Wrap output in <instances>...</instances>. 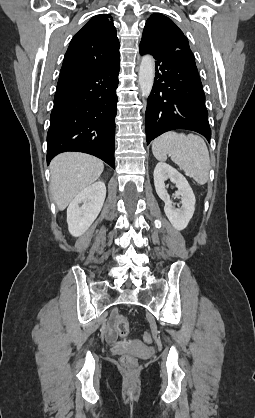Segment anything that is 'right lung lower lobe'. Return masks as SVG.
Listing matches in <instances>:
<instances>
[{
    "mask_svg": "<svg viewBox=\"0 0 255 418\" xmlns=\"http://www.w3.org/2000/svg\"><path fill=\"white\" fill-rule=\"evenodd\" d=\"M116 63L60 75L47 133V161L66 151L94 155L115 168Z\"/></svg>",
    "mask_w": 255,
    "mask_h": 418,
    "instance_id": "98d812e1",
    "label": "right lung lower lobe"
}]
</instances>
